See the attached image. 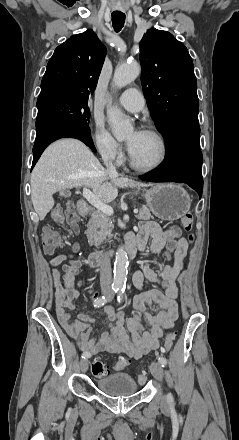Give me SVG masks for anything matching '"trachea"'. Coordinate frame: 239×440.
<instances>
[{
  "instance_id": "3493384b",
  "label": "trachea",
  "mask_w": 239,
  "mask_h": 440,
  "mask_svg": "<svg viewBox=\"0 0 239 440\" xmlns=\"http://www.w3.org/2000/svg\"><path fill=\"white\" fill-rule=\"evenodd\" d=\"M125 22V14L122 12L112 13V24L115 32H120Z\"/></svg>"
}]
</instances>
